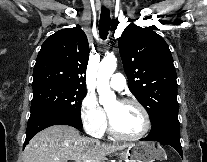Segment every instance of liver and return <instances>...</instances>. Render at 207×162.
Here are the masks:
<instances>
[{
    "mask_svg": "<svg viewBox=\"0 0 207 162\" xmlns=\"http://www.w3.org/2000/svg\"><path fill=\"white\" fill-rule=\"evenodd\" d=\"M128 144H104L83 137L68 125H53L37 133L25 147L23 162H102L106 156Z\"/></svg>",
    "mask_w": 207,
    "mask_h": 162,
    "instance_id": "1",
    "label": "liver"
}]
</instances>
